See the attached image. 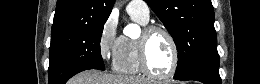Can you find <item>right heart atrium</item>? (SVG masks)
I'll list each match as a JSON object with an SVG mask.
<instances>
[{
    "mask_svg": "<svg viewBox=\"0 0 260 84\" xmlns=\"http://www.w3.org/2000/svg\"><path fill=\"white\" fill-rule=\"evenodd\" d=\"M120 37L117 35L116 20L110 16L101 26L98 37L99 54L107 62L114 63L120 47Z\"/></svg>",
    "mask_w": 260,
    "mask_h": 84,
    "instance_id": "d8ad5b80",
    "label": "right heart atrium"
}]
</instances>
